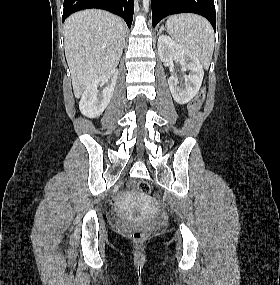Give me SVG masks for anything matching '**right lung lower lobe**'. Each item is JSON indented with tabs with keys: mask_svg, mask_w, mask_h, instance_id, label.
I'll return each mask as SVG.
<instances>
[{
	"mask_svg": "<svg viewBox=\"0 0 280 285\" xmlns=\"http://www.w3.org/2000/svg\"><path fill=\"white\" fill-rule=\"evenodd\" d=\"M88 8L104 9L117 14L131 27L134 0H64L63 22L70 14Z\"/></svg>",
	"mask_w": 280,
	"mask_h": 285,
	"instance_id": "98d812e1",
	"label": "right lung lower lobe"
}]
</instances>
